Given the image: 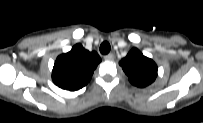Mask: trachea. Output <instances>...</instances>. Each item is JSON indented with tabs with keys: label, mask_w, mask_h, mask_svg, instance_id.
I'll return each mask as SVG.
<instances>
[{
	"label": "trachea",
	"mask_w": 203,
	"mask_h": 123,
	"mask_svg": "<svg viewBox=\"0 0 203 123\" xmlns=\"http://www.w3.org/2000/svg\"><path fill=\"white\" fill-rule=\"evenodd\" d=\"M110 49H111V46L108 42H103L101 45H100V52L101 54L103 55H106L110 52Z\"/></svg>",
	"instance_id": "3493384b"
}]
</instances>
